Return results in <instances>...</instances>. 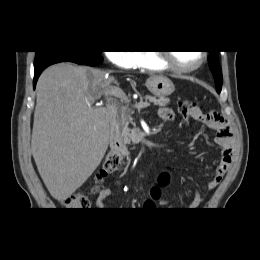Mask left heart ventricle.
<instances>
[{
	"mask_svg": "<svg viewBox=\"0 0 260 260\" xmlns=\"http://www.w3.org/2000/svg\"><path fill=\"white\" fill-rule=\"evenodd\" d=\"M174 60L181 65L189 66L197 63L200 59L198 51H177L173 53Z\"/></svg>",
	"mask_w": 260,
	"mask_h": 260,
	"instance_id": "left-heart-ventricle-1",
	"label": "left heart ventricle"
}]
</instances>
